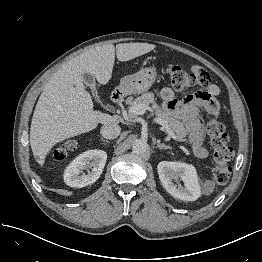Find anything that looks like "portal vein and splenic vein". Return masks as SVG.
<instances>
[{
	"label": "portal vein and splenic vein",
	"mask_w": 262,
	"mask_h": 262,
	"mask_svg": "<svg viewBox=\"0 0 262 262\" xmlns=\"http://www.w3.org/2000/svg\"><path fill=\"white\" fill-rule=\"evenodd\" d=\"M147 109L148 107L144 104H136V105L130 106L128 110L124 112V114L127 115V113H129V114H134V115H142L146 112ZM153 121L162 126L161 130L167 132L169 136L168 138H172L174 140L178 139L177 136L170 130V128L168 127L165 121H163L162 119L158 117H154Z\"/></svg>",
	"instance_id": "1"
}]
</instances>
